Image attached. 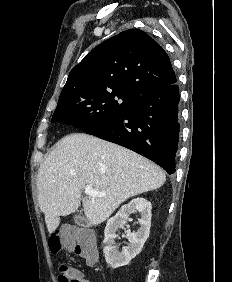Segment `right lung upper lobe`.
I'll use <instances>...</instances> for the list:
<instances>
[{"instance_id":"1","label":"right lung upper lobe","mask_w":232,"mask_h":282,"mask_svg":"<svg viewBox=\"0 0 232 282\" xmlns=\"http://www.w3.org/2000/svg\"><path fill=\"white\" fill-rule=\"evenodd\" d=\"M175 81L163 48L144 31L130 29L97 46L70 71L59 101L113 90H127L141 96Z\"/></svg>"}]
</instances>
